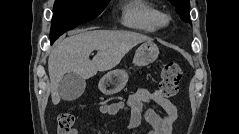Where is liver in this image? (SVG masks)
Returning <instances> with one entry per match:
<instances>
[{
  "label": "liver",
  "instance_id": "1",
  "mask_svg": "<svg viewBox=\"0 0 239 134\" xmlns=\"http://www.w3.org/2000/svg\"><path fill=\"white\" fill-rule=\"evenodd\" d=\"M145 41H151V38L136 32L108 30L81 31L61 40L48 59L53 104L60 102L58 86L67 73L91 78L98 71L104 72L117 66L134 46ZM93 50L97 51V55L90 60Z\"/></svg>",
  "mask_w": 239,
  "mask_h": 134
}]
</instances>
